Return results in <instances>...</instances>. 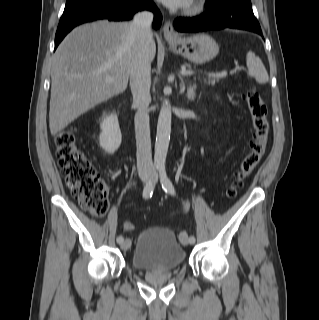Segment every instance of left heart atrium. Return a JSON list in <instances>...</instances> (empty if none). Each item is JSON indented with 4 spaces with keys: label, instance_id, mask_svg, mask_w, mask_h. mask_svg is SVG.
I'll return each mask as SVG.
<instances>
[{
    "label": "left heart atrium",
    "instance_id": "39dd6f15",
    "mask_svg": "<svg viewBox=\"0 0 319 320\" xmlns=\"http://www.w3.org/2000/svg\"><path fill=\"white\" fill-rule=\"evenodd\" d=\"M159 1L169 8L177 9V8H183L188 6L192 0H159Z\"/></svg>",
    "mask_w": 319,
    "mask_h": 320
}]
</instances>
